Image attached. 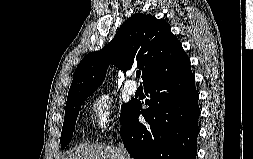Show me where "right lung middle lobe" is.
<instances>
[{"label": "right lung middle lobe", "instance_id": "dd1d6c3e", "mask_svg": "<svg viewBox=\"0 0 253 159\" xmlns=\"http://www.w3.org/2000/svg\"><path fill=\"white\" fill-rule=\"evenodd\" d=\"M87 97L88 96L76 98L66 103L65 118L60 138L61 148H65L67 144L71 141L81 104L85 101ZM131 104L132 102L122 105L120 123L123 121L124 116Z\"/></svg>", "mask_w": 253, "mask_h": 159}]
</instances>
